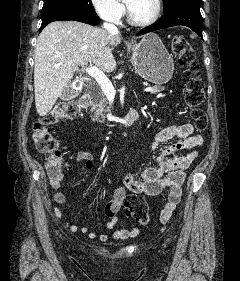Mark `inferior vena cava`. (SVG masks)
I'll list each match as a JSON object with an SVG mask.
<instances>
[{"label":"inferior vena cava","instance_id":"inferior-vena-cava-1","mask_svg":"<svg viewBox=\"0 0 240 281\" xmlns=\"http://www.w3.org/2000/svg\"><path fill=\"white\" fill-rule=\"evenodd\" d=\"M105 30L108 32V34L110 35H119V31H118V28L111 24V23H104L103 24Z\"/></svg>","mask_w":240,"mask_h":281}]
</instances>
